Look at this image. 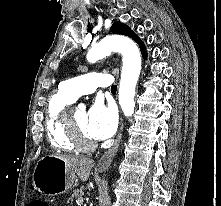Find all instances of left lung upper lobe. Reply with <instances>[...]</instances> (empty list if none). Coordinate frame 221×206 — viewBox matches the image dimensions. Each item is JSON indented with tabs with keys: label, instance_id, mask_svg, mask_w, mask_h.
Listing matches in <instances>:
<instances>
[{
	"label": "left lung upper lobe",
	"instance_id": "left-lung-upper-lobe-1",
	"mask_svg": "<svg viewBox=\"0 0 221 206\" xmlns=\"http://www.w3.org/2000/svg\"><path fill=\"white\" fill-rule=\"evenodd\" d=\"M110 31L115 34H122V35H126V36H129L130 38H132L134 41H136L139 44V47H140L141 52L143 54V57L144 58L147 57L146 48H145L143 42L127 25H125L121 22H115L111 26Z\"/></svg>",
	"mask_w": 221,
	"mask_h": 206
}]
</instances>
